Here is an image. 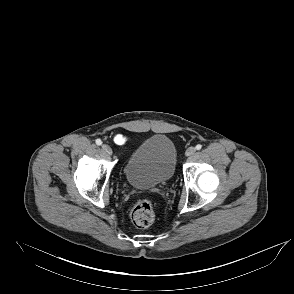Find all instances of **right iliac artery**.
Segmentation results:
<instances>
[{
  "label": "right iliac artery",
  "mask_w": 294,
  "mask_h": 294,
  "mask_svg": "<svg viewBox=\"0 0 294 294\" xmlns=\"http://www.w3.org/2000/svg\"><path fill=\"white\" fill-rule=\"evenodd\" d=\"M96 144H97V145H101V144H102V141H101L100 139H97V140H96Z\"/></svg>",
  "instance_id": "82829eb1"
}]
</instances>
